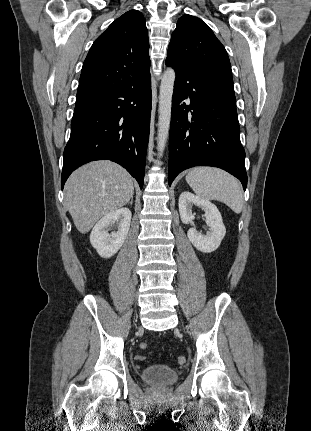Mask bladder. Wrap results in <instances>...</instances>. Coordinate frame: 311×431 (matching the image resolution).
Here are the masks:
<instances>
[{
	"instance_id": "31cf9c89",
	"label": "bladder",
	"mask_w": 311,
	"mask_h": 431,
	"mask_svg": "<svg viewBox=\"0 0 311 431\" xmlns=\"http://www.w3.org/2000/svg\"><path fill=\"white\" fill-rule=\"evenodd\" d=\"M140 378L151 386H169L178 380L179 373L169 366L153 364L141 371Z\"/></svg>"
}]
</instances>
